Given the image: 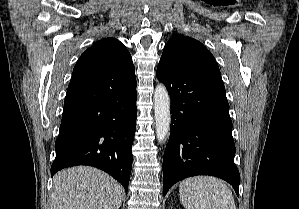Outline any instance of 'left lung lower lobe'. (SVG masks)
Returning a JSON list of instances; mask_svg holds the SVG:
<instances>
[{"instance_id": "1", "label": "left lung lower lobe", "mask_w": 299, "mask_h": 209, "mask_svg": "<svg viewBox=\"0 0 299 209\" xmlns=\"http://www.w3.org/2000/svg\"><path fill=\"white\" fill-rule=\"evenodd\" d=\"M157 77L172 100L171 132L163 158L164 195L173 184L194 175L226 180L238 195L240 175L221 75L158 66Z\"/></svg>"}]
</instances>
